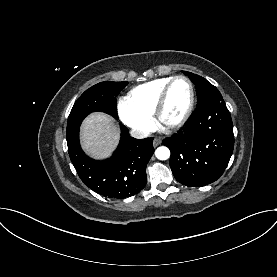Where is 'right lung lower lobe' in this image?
I'll use <instances>...</instances> for the list:
<instances>
[{"instance_id": "98d812e1", "label": "right lung lower lobe", "mask_w": 277, "mask_h": 277, "mask_svg": "<svg viewBox=\"0 0 277 277\" xmlns=\"http://www.w3.org/2000/svg\"><path fill=\"white\" fill-rule=\"evenodd\" d=\"M118 148L109 159L88 157L79 143V129L67 136L68 153L83 183L108 198H126L146 185V166L154 153L153 138L135 139L121 125Z\"/></svg>"}]
</instances>
